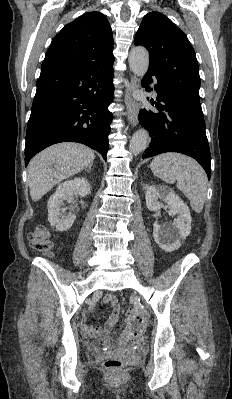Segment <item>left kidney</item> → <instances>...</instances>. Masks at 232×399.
I'll return each mask as SVG.
<instances>
[{
	"mask_svg": "<svg viewBox=\"0 0 232 399\" xmlns=\"http://www.w3.org/2000/svg\"><path fill=\"white\" fill-rule=\"evenodd\" d=\"M158 200L165 201L167 205ZM146 205L150 211H158L161 207H169V213L177 215L173 223L160 225L158 221H154L153 237L159 247L165 249V251L178 249L191 231L192 217L188 205L166 186H147Z\"/></svg>",
	"mask_w": 232,
	"mask_h": 399,
	"instance_id": "1",
	"label": "left kidney"
}]
</instances>
